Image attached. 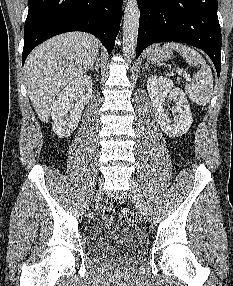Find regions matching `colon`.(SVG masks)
<instances>
[{
	"label": "colon",
	"instance_id": "colon-1",
	"mask_svg": "<svg viewBox=\"0 0 233 286\" xmlns=\"http://www.w3.org/2000/svg\"><path fill=\"white\" fill-rule=\"evenodd\" d=\"M100 218L101 219H106V218H114L115 217V209L112 204L106 203L104 204L99 212ZM120 218L123 221H126L131 224H138L139 223V217L132 212L131 210L124 209L120 213Z\"/></svg>",
	"mask_w": 233,
	"mask_h": 286
}]
</instances>
